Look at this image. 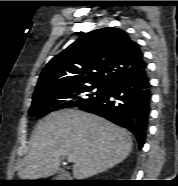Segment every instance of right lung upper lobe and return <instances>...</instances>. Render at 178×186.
<instances>
[{"instance_id": "obj_1", "label": "right lung upper lobe", "mask_w": 178, "mask_h": 186, "mask_svg": "<svg viewBox=\"0 0 178 186\" xmlns=\"http://www.w3.org/2000/svg\"><path fill=\"white\" fill-rule=\"evenodd\" d=\"M144 63L139 45L126 32L117 28L94 30L82 34L51 59L40 74L34 94L93 83L109 84Z\"/></svg>"}]
</instances>
